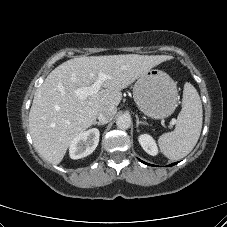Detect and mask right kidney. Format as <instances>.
<instances>
[{"instance_id": "ca27d5eb", "label": "right kidney", "mask_w": 227, "mask_h": 227, "mask_svg": "<svg viewBox=\"0 0 227 227\" xmlns=\"http://www.w3.org/2000/svg\"><path fill=\"white\" fill-rule=\"evenodd\" d=\"M99 136V130L96 128L81 132L70 144V157L80 159L90 155L99 143Z\"/></svg>"}]
</instances>
